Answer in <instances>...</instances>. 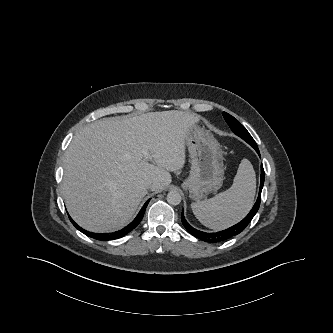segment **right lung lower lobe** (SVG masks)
<instances>
[{"mask_svg": "<svg viewBox=\"0 0 333 333\" xmlns=\"http://www.w3.org/2000/svg\"><path fill=\"white\" fill-rule=\"evenodd\" d=\"M150 199L143 205L142 209L140 210V212L138 213V215L136 216V218L126 227H124L123 229L113 232V233H92L89 231H86L84 229H82L80 226H78L69 216L70 221L72 222V224L78 229L80 230L82 233H84L85 235L97 239V240H101V241H109V240H114V239H118L121 238L123 236H125L126 234H128L130 231H132L142 220L143 215L145 213L146 207L149 203Z\"/></svg>", "mask_w": 333, "mask_h": 333, "instance_id": "1", "label": "right lung lower lobe"}]
</instances>
